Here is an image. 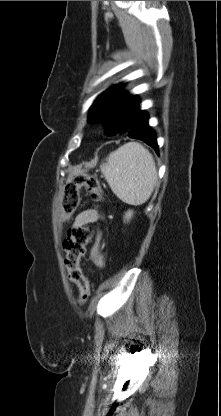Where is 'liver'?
<instances>
[{"label":"liver","instance_id":"6515ba94","mask_svg":"<svg viewBox=\"0 0 221 416\" xmlns=\"http://www.w3.org/2000/svg\"><path fill=\"white\" fill-rule=\"evenodd\" d=\"M83 171H80V170H73L71 173H70V177H72L73 175H77V174H79V173H82Z\"/></svg>","mask_w":221,"mask_h":416}]
</instances>
